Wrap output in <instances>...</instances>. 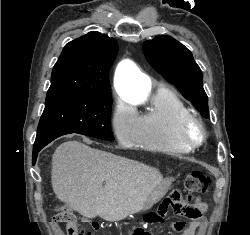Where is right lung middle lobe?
I'll list each match as a JSON object with an SVG mask.
<instances>
[{"instance_id":"right-lung-middle-lobe-1","label":"right lung middle lobe","mask_w":250,"mask_h":235,"mask_svg":"<svg viewBox=\"0 0 250 235\" xmlns=\"http://www.w3.org/2000/svg\"><path fill=\"white\" fill-rule=\"evenodd\" d=\"M111 105L110 91L69 92L46 97L37 134L49 130H67L113 141L110 128Z\"/></svg>"}]
</instances>
